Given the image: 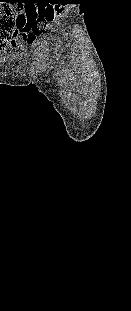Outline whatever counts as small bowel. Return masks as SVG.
I'll use <instances>...</instances> for the list:
<instances>
[{"label": "small bowel", "instance_id": "small-bowel-1", "mask_svg": "<svg viewBox=\"0 0 131 311\" xmlns=\"http://www.w3.org/2000/svg\"><path fill=\"white\" fill-rule=\"evenodd\" d=\"M33 41H34L33 36H31V35L27 36V39H26L27 44L31 45L33 43Z\"/></svg>", "mask_w": 131, "mask_h": 311}]
</instances>
